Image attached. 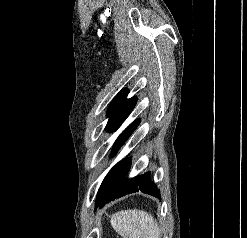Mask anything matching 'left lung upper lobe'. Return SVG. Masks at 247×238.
Listing matches in <instances>:
<instances>
[{
    "label": "left lung upper lobe",
    "mask_w": 247,
    "mask_h": 238,
    "mask_svg": "<svg viewBox=\"0 0 247 238\" xmlns=\"http://www.w3.org/2000/svg\"><path fill=\"white\" fill-rule=\"evenodd\" d=\"M128 91H121L112 101L108 109L109 121L107 123V130L113 131L118 128L121 123L128 117L133 108L136 105L137 98L132 97L127 99ZM140 120L132 122L118 137L113 148V152L117 151L118 148L128 139L132 132L139 125Z\"/></svg>",
    "instance_id": "obj_1"
}]
</instances>
